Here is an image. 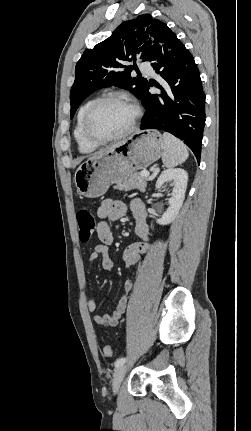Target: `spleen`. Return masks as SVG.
I'll return each mask as SVG.
<instances>
[{
	"label": "spleen",
	"instance_id": "spleen-1",
	"mask_svg": "<svg viewBox=\"0 0 251 431\" xmlns=\"http://www.w3.org/2000/svg\"><path fill=\"white\" fill-rule=\"evenodd\" d=\"M162 138L164 142L162 161L166 167L173 168L188 158V149L182 141L166 132Z\"/></svg>",
	"mask_w": 251,
	"mask_h": 431
}]
</instances>
